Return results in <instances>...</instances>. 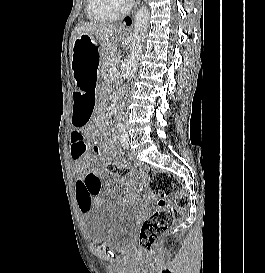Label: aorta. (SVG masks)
<instances>
[{
  "label": "aorta",
  "instance_id": "aorta-1",
  "mask_svg": "<svg viewBox=\"0 0 265 273\" xmlns=\"http://www.w3.org/2000/svg\"><path fill=\"white\" fill-rule=\"evenodd\" d=\"M149 15V9L143 6L137 11L134 17V31L131 50L129 59L124 70V78L127 80L132 79L136 73L142 53L143 41L147 33Z\"/></svg>",
  "mask_w": 265,
  "mask_h": 273
}]
</instances>
